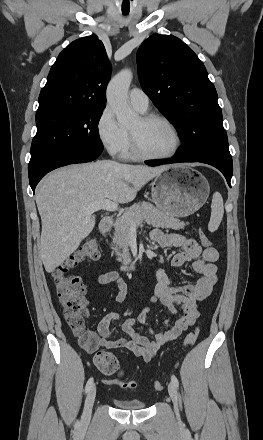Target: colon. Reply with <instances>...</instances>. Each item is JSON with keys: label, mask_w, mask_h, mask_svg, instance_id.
<instances>
[{"label": "colon", "mask_w": 263, "mask_h": 440, "mask_svg": "<svg viewBox=\"0 0 263 440\" xmlns=\"http://www.w3.org/2000/svg\"><path fill=\"white\" fill-rule=\"evenodd\" d=\"M199 236L203 246L210 247L211 242L207 235L201 231ZM98 257L99 250L96 240L88 239L78 251L58 265L53 272L58 299L63 314L74 336L86 349L91 347L95 341V335L85 330L87 317L85 285L81 278L78 275L71 273V271L84 263L97 260ZM197 337V329L188 333L184 341L185 346L191 347L196 342ZM95 365L97 369L105 375L121 374L119 361L111 353L98 352L95 356ZM116 384L129 390L136 387V382L131 380L116 381ZM162 388V382H154L153 389L155 391H160Z\"/></svg>", "instance_id": "5ec220e1"}]
</instances>
